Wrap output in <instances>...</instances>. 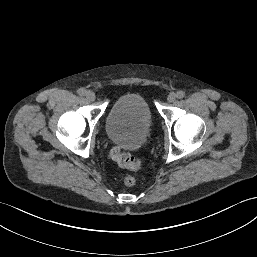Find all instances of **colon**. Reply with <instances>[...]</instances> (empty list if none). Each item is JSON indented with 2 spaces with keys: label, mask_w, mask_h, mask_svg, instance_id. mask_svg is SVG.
Masks as SVG:
<instances>
[{
  "label": "colon",
  "mask_w": 257,
  "mask_h": 257,
  "mask_svg": "<svg viewBox=\"0 0 257 257\" xmlns=\"http://www.w3.org/2000/svg\"><path fill=\"white\" fill-rule=\"evenodd\" d=\"M110 156L113 161H115L119 166L126 168L131 171H135L139 168L140 163L137 158H135L132 154L122 151L118 147H113L110 151ZM136 183V179L127 175L124 178V184L128 187L134 186Z\"/></svg>",
  "instance_id": "obj_1"
}]
</instances>
